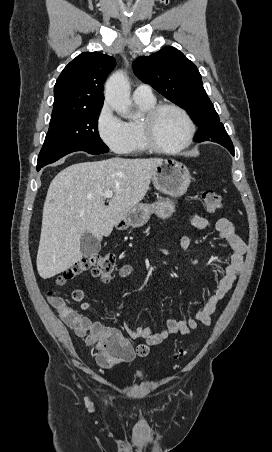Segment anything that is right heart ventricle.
<instances>
[{
  "label": "right heart ventricle",
  "instance_id": "e07e8e85",
  "mask_svg": "<svg viewBox=\"0 0 272 452\" xmlns=\"http://www.w3.org/2000/svg\"><path fill=\"white\" fill-rule=\"evenodd\" d=\"M135 102L142 112H146L148 109L152 108L156 103L155 99L154 100L135 99ZM140 123L141 120H130L128 122H125L128 132V140L124 153L128 154L141 153L148 149L142 137Z\"/></svg>",
  "mask_w": 272,
  "mask_h": 452
}]
</instances>
